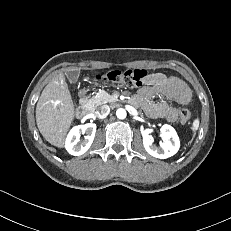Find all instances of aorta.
I'll use <instances>...</instances> for the list:
<instances>
[{"instance_id": "1", "label": "aorta", "mask_w": 231, "mask_h": 231, "mask_svg": "<svg viewBox=\"0 0 231 231\" xmlns=\"http://www.w3.org/2000/svg\"><path fill=\"white\" fill-rule=\"evenodd\" d=\"M116 115L119 119H125L126 118V110L123 109V108H119L117 111H116Z\"/></svg>"}]
</instances>
